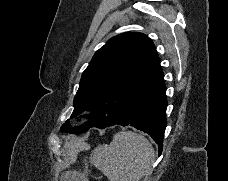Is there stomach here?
<instances>
[{
  "mask_svg": "<svg viewBox=\"0 0 228 181\" xmlns=\"http://www.w3.org/2000/svg\"><path fill=\"white\" fill-rule=\"evenodd\" d=\"M85 169L80 171H65L60 177V181H88V175L90 173L88 167V161H84Z\"/></svg>",
  "mask_w": 228,
  "mask_h": 181,
  "instance_id": "obj_1",
  "label": "stomach"
}]
</instances>
